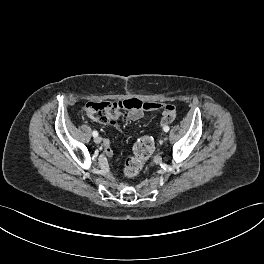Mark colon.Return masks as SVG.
<instances>
[{"label": "colon", "instance_id": "1", "mask_svg": "<svg viewBox=\"0 0 264 264\" xmlns=\"http://www.w3.org/2000/svg\"><path fill=\"white\" fill-rule=\"evenodd\" d=\"M125 107L122 102H89L84 107L87 117L101 123H115L120 117V110ZM154 151V142L150 136H143L137 140L133 148V155L124 166L127 177H136L142 170L145 162Z\"/></svg>", "mask_w": 264, "mask_h": 264}]
</instances>
